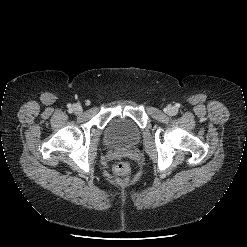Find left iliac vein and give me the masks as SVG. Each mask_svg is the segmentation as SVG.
<instances>
[{
    "label": "left iliac vein",
    "mask_w": 247,
    "mask_h": 247,
    "mask_svg": "<svg viewBox=\"0 0 247 247\" xmlns=\"http://www.w3.org/2000/svg\"><path fill=\"white\" fill-rule=\"evenodd\" d=\"M174 111H175V109H174L173 107L167 108V113H168L169 115L173 114Z\"/></svg>",
    "instance_id": "left-iliac-vein-1"
}]
</instances>
